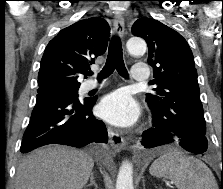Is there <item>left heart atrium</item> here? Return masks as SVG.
<instances>
[{
	"instance_id": "39dd6f15",
	"label": "left heart atrium",
	"mask_w": 223,
	"mask_h": 189,
	"mask_svg": "<svg viewBox=\"0 0 223 189\" xmlns=\"http://www.w3.org/2000/svg\"><path fill=\"white\" fill-rule=\"evenodd\" d=\"M98 114L111 124L130 126L137 120L139 108L136 101L126 91L117 90L101 100Z\"/></svg>"
}]
</instances>
